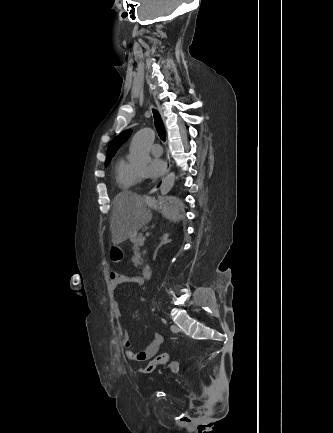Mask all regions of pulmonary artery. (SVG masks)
<instances>
[{
  "label": "pulmonary artery",
  "mask_w": 333,
  "mask_h": 433,
  "mask_svg": "<svg viewBox=\"0 0 333 433\" xmlns=\"http://www.w3.org/2000/svg\"><path fill=\"white\" fill-rule=\"evenodd\" d=\"M162 153H163V148L160 144L155 143L151 146V154L153 156L159 157L162 155Z\"/></svg>",
  "instance_id": "e3ab8cb5"
}]
</instances>
